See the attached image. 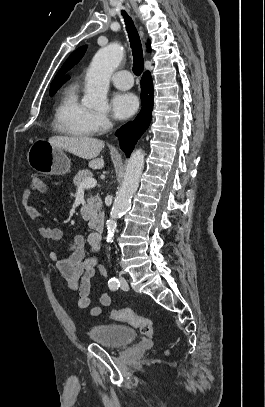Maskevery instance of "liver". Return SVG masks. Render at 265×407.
I'll use <instances>...</instances> for the list:
<instances>
[{"label":"liver","instance_id":"liver-1","mask_svg":"<svg viewBox=\"0 0 265 407\" xmlns=\"http://www.w3.org/2000/svg\"><path fill=\"white\" fill-rule=\"evenodd\" d=\"M48 142L54 147L66 150L80 158L90 160L89 167L93 169L104 167V160L97 158L105 145L102 140L92 137L53 136L49 138Z\"/></svg>","mask_w":265,"mask_h":407}]
</instances>
